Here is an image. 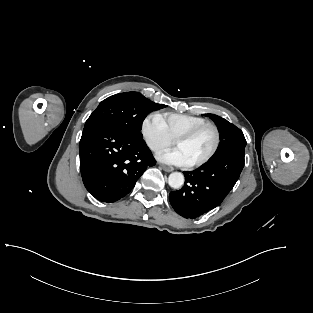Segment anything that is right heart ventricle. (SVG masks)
Returning a JSON list of instances; mask_svg holds the SVG:
<instances>
[{
    "label": "right heart ventricle",
    "instance_id": "obj_1",
    "mask_svg": "<svg viewBox=\"0 0 313 313\" xmlns=\"http://www.w3.org/2000/svg\"><path fill=\"white\" fill-rule=\"evenodd\" d=\"M160 116L173 140L192 128L207 122L203 117L174 112H166Z\"/></svg>",
    "mask_w": 313,
    "mask_h": 313
}]
</instances>
